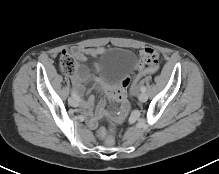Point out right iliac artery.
I'll use <instances>...</instances> for the list:
<instances>
[{
	"instance_id": "obj_1",
	"label": "right iliac artery",
	"mask_w": 219,
	"mask_h": 174,
	"mask_svg": "<svg viewBox=\"0 0 219 174\" xmlns=\"http://www.w3.org/2000/svg\"><path fill=\"white\" fill-rule=\"evenodd\" d=\"M72 97L76 98L77 101H80V98L77 96L76 92L74 90H71Z\"/></svg>"
}]
</instances>
